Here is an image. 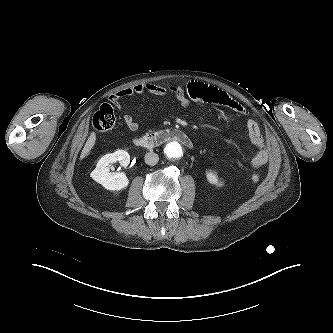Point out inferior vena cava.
Wrapping results in <instances>:
<instances>
[{
  "label": "inferior vena cava",
  "mask_w": 333,
  "mask_h": 333,
  "mask_svg": "<svg viewBox=\"0 0 333 333\" xmlns=\"http://www.w3.org/2000/svg\"><path fill=\"white\" fill-rule=\"evenodd\" d=\"M159 161V157L156 153L153 152H148L145 155V163L150 165V166H154L157 164V162Z\"/></svg>",
  "instance_id": "inferior-vena-cava-1"
}]
</instances>
